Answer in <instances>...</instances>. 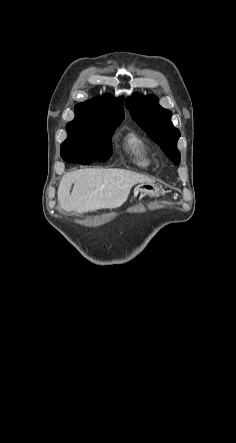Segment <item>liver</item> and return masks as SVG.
Returning a JSON list of instances; mask_svg holds the SVG:
<instances>
[{
  "mask_svg": "<svg viewBox=\"0 0 236 443\" xmlns=\"http://www.w3.org/2000/svg\"><path fill=\"white\" fill-rule=\"evenodd\" d=\"M150 184L147 176L125 169H83L66 173L58 187V202L66 212L83 214L120 207L135 184ZM73 190L70 194L72 185Z\"/></svg>",
  "mask_w": 236,
  "mask_h": 443,
  "instance_id": "liver-1",
  "label": "liver"
}]
</instances>
